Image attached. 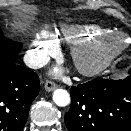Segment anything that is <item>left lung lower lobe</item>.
<instances>
[{"label":"left lung lower lobe","mask_w":131,"mask_h":131,"mask_svg":"<svg viewBox=\"0 0 131 131\" xmlns=\"http://www.w3.org/2000/svg\"><path fill=\"white\" fill-rule=\"evenodd\" d=\"M64 121L69 131H131V75L72 86Z\"/></svg>","instance_id":"obj_1"}]
</instances>
